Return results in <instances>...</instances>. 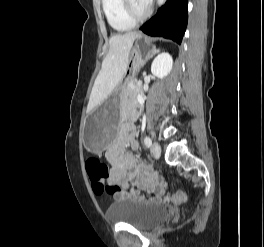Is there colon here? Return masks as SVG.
<instances>
[{
	"mask_svg": "<svg viewBox=\"0 0 264 247\" xmlns=\"http://www.w3.org/2000/svg\"><path fill=\"white\" fill-rule=\"evenodd\" d=\"M86 171L91 180L93 190L96 193H108L111 195H117L120 188L116 185L109 183V169L108 166L98 158H88L85 162ZM134 192H137L135 190ZM185 198L183 192H179L176 195H170L167 197L168 202H175L179 199Z\"/></svg>",
	"mask_w": 264,
	"mask_h": 247,
	"instance_id": "5ec220e1",
	"label": "colon"
}]
</instances>
